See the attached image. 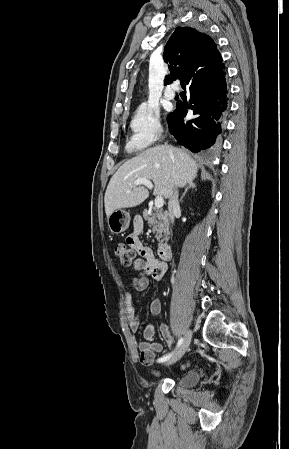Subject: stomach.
Masks as SVG:
<instances>
[{"label": "stomach", "instance_id": "obj_1", "mask_svg": "<svg viewBox=\"0 0 289 449\" xmlns=\"http://www.w3.org/2000/svg\"><path fill=\"white\" fill-rule=\"evenodd\" d=\"M130 219V214L127 211L115 210L107 218L108 228L113 234L122 233L129 227Z\"/></svg>", "mask_w": 289, "mask_h": 449}]
</instances>
